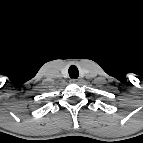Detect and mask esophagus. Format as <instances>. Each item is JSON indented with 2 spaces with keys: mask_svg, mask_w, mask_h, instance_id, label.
<instances>
[{
  "mask_svg": "<svg viewBox=\"0 0 143 143\" xmlns=\"http://www.w3.org/2000/svg\"><path fill=\"white\" fill-rule=\"evenodd\" d=\"M73 83H77V84H79L81 81H82V79L81 78H78V79H72L71 80Z\"/></svg>",
  "mask_w": 143,
  "mask_h": 143,
  "instance_id": "1",
  "label": "esophagus"
}]
</instances>
